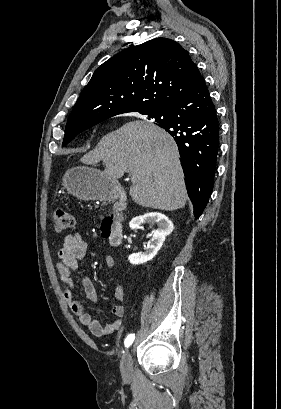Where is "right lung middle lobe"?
<instances>
[{"label":"right lung middle lobe","instance_id":"obj_1","mask_svg":"<svg viewBox=\"0 0 281 409\" xmlns=\"http://www.w3.org/2000/svg\"><path fill=\"white\" fill-rule=\"evenodd\" d=\"M143 115H148L149 118H152L151 112H139ZM156 122L158 120H155ZM99 123V122H97ZM97 123L91 124V125H87V126H82V127H67L65 129V136H64V140H63V146H65L66 144H68L77 134H79L80 132L96 125Z\"/></svg>","mask_w":281,"mask_h":409}]
</instances>
